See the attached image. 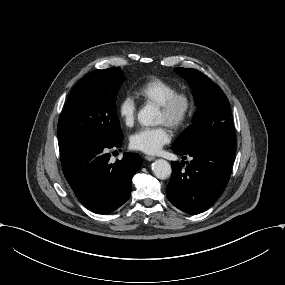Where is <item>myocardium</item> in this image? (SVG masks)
Masks as SVG:
<instances>
[{
	"label": "myocardium",
	"mask_w": 285,
	"mask_h": 285,
	"mask_svg": "<svg viewBox=\"0 0 285 285\" xmlns=\"http://www.w3.org/2000/svg\"><path fill=\"white\" fill-rule=\"evenodd\" d=\"M157 106L166 115L167 125L176 129L189 119L194 107V98L189 90L176 89Z\"/></svg>",
	"instance_id": "f54148a6"
}]
</instances>
